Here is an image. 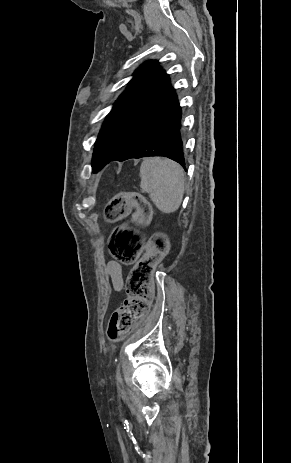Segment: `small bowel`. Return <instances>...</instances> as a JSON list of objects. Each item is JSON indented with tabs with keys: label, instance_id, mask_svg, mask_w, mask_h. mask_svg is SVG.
<instances>
[{
	"label": "small bowel",
	"instance_id": "1",
	"mask_svg": "<svg viewBox=\"0 0 291 463\" xmlns=\"http://www.w3.org/2000/svg\"><path fill=\"white\" fill-rule=\"evenodd\" d=\"M105 273L114 290L121 291L124 285L122 266L118 262L110 261L106 265Z\"/></svg>",
	"mask_w": 291,
	"mask_h": 463
}]
</instances>
